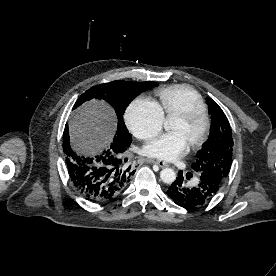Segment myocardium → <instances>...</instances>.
<instances>
[{"label": "myocardium", "instance_id": "f54148a6", "mask_svg": "<svg viewBox=\"0 0 276 276\" xmlns=\"http://www.w3.org/2000/svg\"><path fill=\"white\" fill-rule=\"evenodd\" d=\"M176 118H179L187 123L201 120L203 123L201 133L195 139V141L191 144V149L200 148L207 140L209 132H210V118L206 111V109L193 107L185 110L176 115Z\"/></svg>", "mask_w": 276, "mask_h": 276}]
</instances>
